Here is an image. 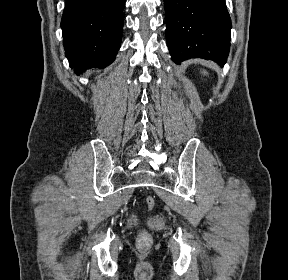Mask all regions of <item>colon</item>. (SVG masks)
<instances>
[{"label":"colon","mask_w":288,"mask_h":280,"mask_svg":"<svg viewBox=\"0 0 288 280\" xmlns=\"http://www.w3.org/2000/svg\"><path fill=\"white\" fill-rule=\"evenodd\" d=\"M145 203L148 210H152L156 205V201L153 196H148ZM151 240V235L147 231H141L138 236V245L141 248H146L151 244Z\"/></svg>","instance_id":"1"}]
</instances>
